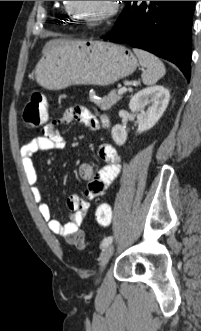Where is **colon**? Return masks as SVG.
<instances>
[{"label":"colon","mask_w":201,"mask_h":331,"mask_svg":"<svg viewBox=\"0 0 201 331\" xmlns=\"http://www.w3.org/2000/svg\"><path fill=\"white\" fill-rule=\"evenodd\" d=\"M23 119L25 124L31 128H37L44 125L48 119V111L43 96L39 93H34L25 105L23 111ZM96 221L99 225L107 227L112 221V208L107 203L98 205L95 213ZM87 242L84 239L76 241L75 246L79 249L84 248Z\"/></svg>","instance_id":"5ec220e1"}]
</instances>
